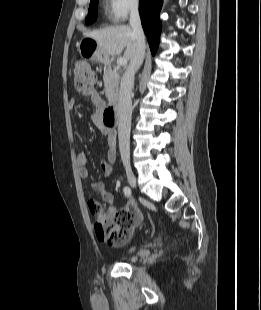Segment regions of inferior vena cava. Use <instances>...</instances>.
Segmentation results:
<instances>
[{"label":"inferior vena cava","instance_id":"602c4592","mask_svg":"<svg viewBox=\"0 0 261 310\" xmlns=\"http://www.w3.org/2000/svg\"><path fill=\"white\" fill-rule=\"evenodd\" d=\"M130 25L136 39L134 56L121 78L118 97V139L122 162L125 166L130 165V129H131V92L134 86V76L143 63L145 55V36L141 25L138 5H134L130 13Z\"/></svg>","mask_w":261,"mask_h":310}]
</instances>
